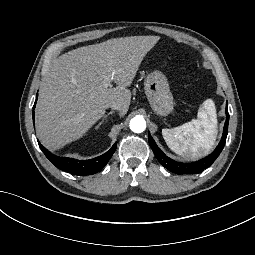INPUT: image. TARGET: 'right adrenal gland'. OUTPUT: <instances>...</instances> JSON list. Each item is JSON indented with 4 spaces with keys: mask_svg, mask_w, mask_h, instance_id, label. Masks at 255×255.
I'll return each mask as SVG.
<instances>
[{
    "mask_svg": "<svg viewBox=\"0 0 255 255\" xmlns=\"http://www.w3.org/2000/svg\"><path fill=\"white\" fill-rule=\"evenodd\" d=\"M113 113H114V111H110L107 115H105L104 118L102 119V121L95 127V129H98L104 123V121L107 120V117Z\"/></svg>",
    "mask_w": 255,
    "mask_h": 255,
    "instance_id": "obj_1",
    "label": "right adrenal gland"
}]
</instances>
